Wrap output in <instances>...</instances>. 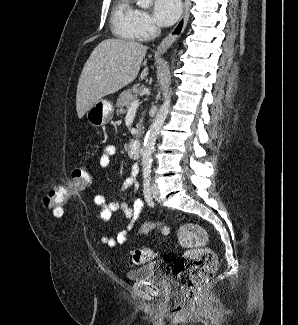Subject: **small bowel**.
Here are the masks:
<instances>
[{
	"instance_id": "c3829d8e",
	"label": "small bowel",
	"mask_w": 298,
	"mask_h": 325,
	"mask_svg": "<svg viewBox=\"0 0 298 325\" xmlns=\"http://www.w3.org/2000/svg\"><path fill=\"white\" fill-rule=\"evenodd\" d=\"M115 154L116 147L114 145H107L99 158L100 167H108ZM137 175L138 166L134 165L131 168L130 175L126 178L121 187L120 191L123 195L121 199L115 198L107 202L106 196L103 194H98L94 197V204L99 209V216L102 220L108 221L116 211H121L125 217L129 219L127 227L120 231L116 237L111 236L107 231L101 234V242L106 246L115 247L117 244H124L127 240L128 233L134 228L140 217L144 207V201L137 196L139 191ZM128 191H131L135 195L132 203H129L125 198V193Z\"/></svg>"
}]
</instances>
